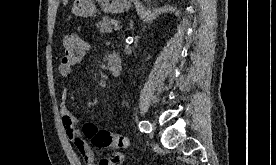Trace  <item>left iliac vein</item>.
Returning a JSON list of instances; mask_svg holds the SVG:
<instances>
[{"label":"left iliac vein","instance_id":"left-iliac-vein-1","mask_svg":"<svg viewBox=\"0 0 276 165\" xmlns=\"http://www.w3.org/2000/svg\"><path fill=\"white\" fill-rule=\"evenodd\" d=\"M152 130L154 131L155 130V124L153 123L152 124ZM153 133V132H152ZM152 133L150 135H152Z\"/></svg>","mask_w":276,"mask_h":165}]
</instances>
